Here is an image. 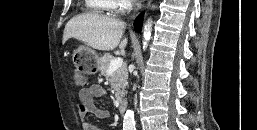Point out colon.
<instances>
[{
  "label": "colon",
  "mask_w": 257,
  "mask_h": 130,
  "mask_svg": "<svg viewBox=\"0 0 257 130\" xmlns=\"http://www.w3.org/2000/svg\"><path fill=\"white\" fill-rule=\"evenodd\" d=\"M73 78L77 86H85L87 83L85 75L79 70L74 71Z\"/></svg>",
  "instance_id": "5ec220e1"
}]
</instances>
